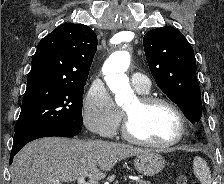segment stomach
Instances as JSON below:
<instances>
[{
    "label": "stomach",
    "mask_w": 224,
    "mask_h": 184,
    "mask_svg": "<svg viewBox=\"0 0 224 184\" xmlns=\"http://www.w3.org/2000/svg\"><path fill=\"white\" fill-rule=\"evenodd\" d=\"M134 166L140 174L154 176L164 168L165 160L158 153L147 151L137 155Z\"/></svg>",
    "instance_id": "obj_1"
}]
</instances>
